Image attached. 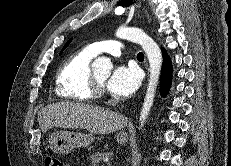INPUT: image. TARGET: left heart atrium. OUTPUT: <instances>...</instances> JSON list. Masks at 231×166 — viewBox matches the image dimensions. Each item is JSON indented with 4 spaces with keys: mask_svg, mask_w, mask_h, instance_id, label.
<instances>
[{
    "mask_svg": "<svg viewBox=\"0 0 231 166\" xmlns=\"http://www.w3.org/2000/svg\"><path fill=\"white\" fill-rule=\"evenodd\" d=\"M141 76L135 66L116 67L108 80L107 89L116 97H130L139 87Z\"/></svg>",
    "mask_w": 231,
    "mask_h": 166,
    "instance_id": "1",
    "label": "left heart atrium"
}]
</instances>
